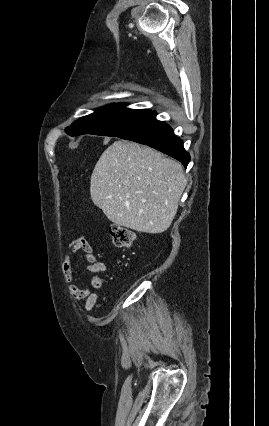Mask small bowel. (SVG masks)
<instances>
[{"instance_id": "small-bowel-1", "label": "small bowel", "mask_w": 269, "mask_h": 426, "mask_svg": "<svg viewBox=\"0 0 269 426\" xmlns=\"http://www.w3.org/2000/svg\"><path fill=\"white\" fill-rule=\"evenodd\" d=\"M75 255H79L82 259L88 262L87 272L88 273H99L104 271L105 265L97 260L94 250L87 238L84 236L74 239L67 247L63 255L62 271L65 281L69 284V292L71 296L77 301H84V309L90 311L95 306L98 293L95 291L96 288L102 286V281L99 285L93 283V288H81L74 284V268L72 265V258Z\"/></svg>"}]
</instances>
